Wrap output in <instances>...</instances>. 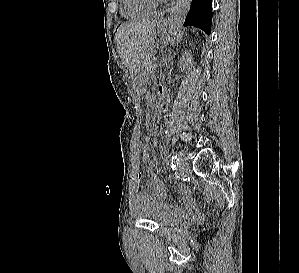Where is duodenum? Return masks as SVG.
I'll use <instances>...</instances> for the list:
<instances>
[{
	"label": "duodenum",
	"mask_w": 299,
	"mask_h": 273,
	"mask_svg": "<svg viewBox=\"0 0 299 273\" xmlns=\"http://www.w3.org/2000/svg\"><path fill=\"white\" fill-rule=\"evenodd\" d=\"M165 106H166V101H165L164 98H162V99L158 102L157 106L155 107V110H162V109H164Z\"/></svg>",
	"instance_id": "duodenum-1"
}]
</instances>
